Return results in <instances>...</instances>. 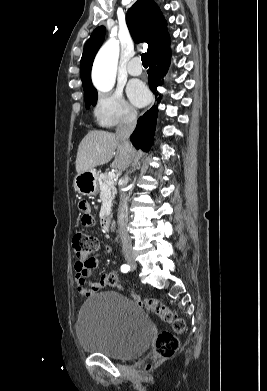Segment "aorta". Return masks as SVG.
<instances>
[{"instance_id":"aorta-1","label":"aorta","mask_w":267,"mask_h":391,"mask_svg":"<svg viewBox=\"0 0 267 391\" xmlns=\"http://www.w3.org/2000/svg\"><path fill=\"white\" fill-rule=\"evenodd\" d=\"M118 58L119 43L112 37L97 53L92 68L93 84L100 92H109L113 89Z\"/></svg>"}]
</instances>
